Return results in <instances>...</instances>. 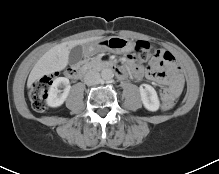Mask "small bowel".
<instances>
[{
	"mask_svg": "<svg viewBox=\"0 0 219 174\" xmlns=\"http://www.w3.org/2000/svg\"><path fill=\"white\" fill-rule=\"evenodd\" d=\"M131 74L135 78H140L144 74V69L132 63V57L127 59ZM147 78L158 83L169 85V89L158 87L156 96L163 101H174L179 96L184 79L182 70L176 63L173 54L164 49L156 52L155 57L151 60L145 71Z\"/></svg>",
	"mask_w": 219,
	"mask_h": 174,
	"instance_id": "1",
	"label": "small bowel"
}]
</instances>
